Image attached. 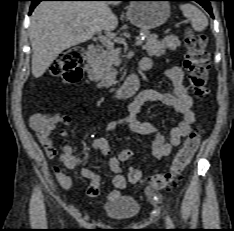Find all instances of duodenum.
Masks as SVG:
<instances>
[{"label": "duodenum", "instance_id": "410a0bca", "mask_svg": "<svg viewBox=\"0 0 234 231\" xmlns=\"http://www.w3.org/2000/svg\"><path fill=\"white\" fill-rule=\"evenodd\" d=\"M97 52V46L95 44H91L88 46L86 50V57L93 58ZM150 64H139V72L131 75L125 83L119 87L112 95L114 99H127L134 95L140 84V75L142 72L150 69Z\"/></svg>", "mask_w": 234, "mask_h": 231}]
</instances>
